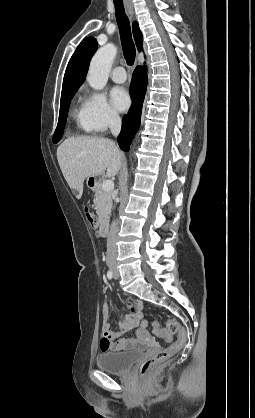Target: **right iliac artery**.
Here are the masks:
<instances>
[{
    "instance_id": "82829eb1",
    "label": "right iliac artery",
    "mask_w": 255,
    "mask_h": 418,
    "mask_svg": "<svg viewBox=\"0 0 255 418\" xmlns=\"http://www.w3.org/2000/svg\"><path fill=\"white\" fill-rule=\"evenodd\" d=\"M107 277H108V279H109V280H111V279H112V277H113V272H112L111 270H109V271L107 272Z\"/></svg>"
}]
</instances>
